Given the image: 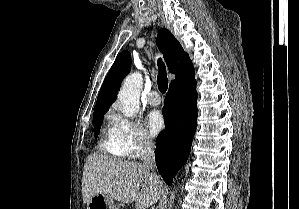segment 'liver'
Listing matches in <instances>:
<instances>
[{
    "label": "liver",
    "mask_w": 299,
    "mask_h": 209,
    "mask_svg": "<svg viewBox=\"0 0 299 209\" xmlns=\"http://www.w3.org/2000/svg\"><path fill=\"white\" fill-rule=\"evenodd\" d=\"M164 191L163 181L142 164L90 154L82 178L84 203L96 194H103L122 203L135 202L136 209L155 204Z\"/></svg>",
    "instance_id": "6515ba94"
}]
</instances>
